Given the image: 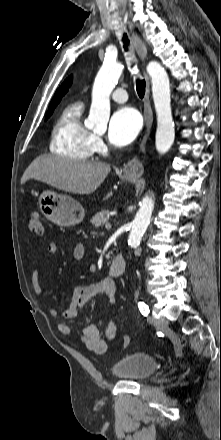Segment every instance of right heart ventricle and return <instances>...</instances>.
<instances>
[{
	"mask_svg": "<svg viewBox=\"0 0 221 440\" xmlns=\"http://www.w3.org/2000/svg\"><path fill=\"white\" fill-rule=\"evenodd\" d=\"M83 105L74 101L58 115L52 131L50 149L62 157L87 160L93 154L92 133L82 123Z\"/></svg>",
	"mask_w": 221,
	"mask_h": 440,
	"instance_id": "right-heart-ventricle-1",
	"label": "right heart ventricle"
}]
</instances>
